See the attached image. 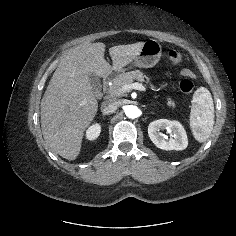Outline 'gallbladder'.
Here are the masks:
<instances>
[{"mask_svg": "<svg viewBox=\"0 0 236 236\" xmlns=\"http://www.w3.org/2000/svg\"><path fill=\"white\" fill-rule=\"evenodd\" d=\"M89 80L94 90L98 91L101 87L100 80L94 74H89Z\"/></svg>", "mask_w": 236, "mask_h": 236, "instance_id": "obj_1", "label": "gallbladder"}]
</instances>
